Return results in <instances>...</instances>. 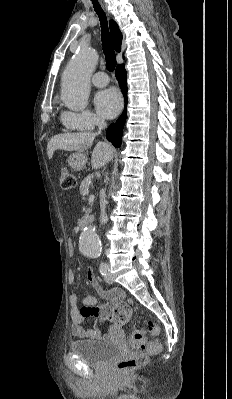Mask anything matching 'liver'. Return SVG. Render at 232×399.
<instances>
[{"instance_id":"liver-1","label":"liver","mask_w":232,"mask_h":399,"mask_svg":"<svg viewBox=\"0 0 232 399\" xmlns=\"http://www.w3.org/2000/svg\"><path fill=\"white\" fill-rule=\"evenodd\" d=\"M96 134L91 132H79V134H58L51 138L47 146V156L49 160L53 158L56 150H66V152H85L88 148H91ZM113 158V148L110 144L105 142H98L96 144L92 156L91 164L92 170H98L103 168L108 162H111Z\"/></svg>"}]
</instances>
